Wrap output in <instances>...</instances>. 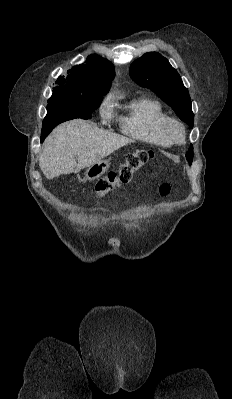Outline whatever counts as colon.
<instances>
[{"label": "colon", "instance_id": "1", "mask_svg": "<svg viewBox=\"0 0 232 399\" xmlns=\"http://www.w3.org/2000/svg\"><path fill=\"white\" fill-rule=\"evenodd\" d=\"M149 162V157L145 153H138L137 155H131L126 163H115V172L108 174L106 180H95V185H110L107 187L108 191H115L116 185H127L128 181L124 179H132V174H129L130 168H140L145 166ZM96 191H105V186H96ZM170 186H160V189H154V194H164L165 191H170Z\"/></svg>", "mask_w": 232, "mask_h": 399}]
</instances>
